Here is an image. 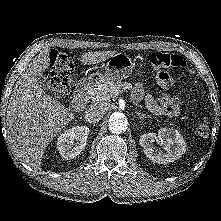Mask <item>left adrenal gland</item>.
I'll return each mask as SVG.
<instances>
[{
	"instance_id": "a2214340",
	"label": "left adrenal gland",
	"mask_w": 221,
	"mask_h": 221,
	"mask_svg": "<svg viewBox=\"0 0 221 221\" xmlns=\"http://www.w3.org/2000/svg\"><path fill=\"white\" fill-rule=\"evenodd\" d=\"M147 117H150V115H146V114H142L141 116H139V118H147Z\"/></svg>"
}]
</instances>
